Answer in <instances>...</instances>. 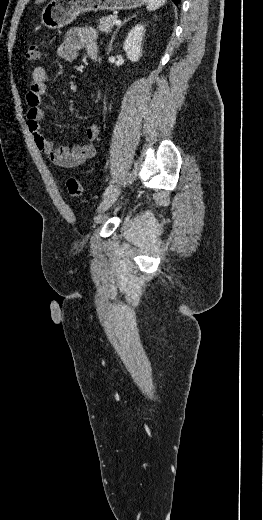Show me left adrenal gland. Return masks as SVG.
<instances>
[{
	"label": "left adrenal gland",
	"instance_id": "obj_1",
	"mask_svg": "<svg viewBox=\"0 0 263 520\" xmlns=\"http://www.w3.org/2000/svg\"><path fill=\"white\" fill-rule=\"evenodd\" d=\"M136 16H137V15L134 14L132 17L125 19L124 22H123V23H122V24H121V25H120V26H119V27L114 31V33H113V35H112V37H111V40H110L109 51H111V49H112V43H113L114 37H115L116 33L119 31V29H120V28H121V27H122L126 22H128V21H129L130 19H132V18H135Z\"/></svg>",
	"mask_w": 263,
	"mask_h": 520
}]
</instances>
